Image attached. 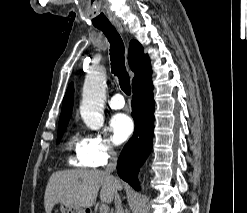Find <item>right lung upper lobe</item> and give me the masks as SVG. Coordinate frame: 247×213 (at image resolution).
<instances>
[{"mask_svg":"<svg viewBox=\"0 0 247 213\" xmlns=\"http://www.w3.org/2000/svg\"><path fill=\"white\" fill-rule=\"evenodd\" d=\"M128 63L131 70L135 73L132 85L142 78L151 75L150 59L148 55L144 54L142 45L136 40H132L130 42ZM73 92V84L71 83L68 86L63 99L62 111L59 118V126L66 123L68 124V121L71 117L73 107Z\"/></svg>","mask_w":247,"mask_h":213,"instance_id":"right-lung-upper-lobe-1","label":"right lung upper lobe"}]
</instances>
